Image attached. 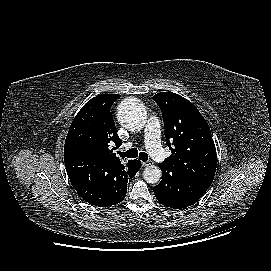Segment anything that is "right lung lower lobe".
<instances>
[{
    "label": "right lung lower lobe",
    "instance_id": "obj_1",
    "mask_svg": "<svg viewBox=\"0 0 271 271\" xmlns=\"http://www.w3.org/2000/svg\"><path fill=\"white\" fill-rule=\"evenodd\" d=\"M69 179L88 203L107 207L121 202L127 192V183L141 167L139 160L124 166L109 164L82 154L64 157Z\"/></svg>",
    "mask_w": 271,
    "mask_h": 271
}]
</instances>
